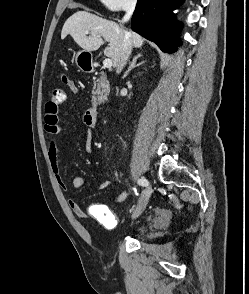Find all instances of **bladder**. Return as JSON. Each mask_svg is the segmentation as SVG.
Instances as JSON below:
<instances>
[{
    "instance_id": "obj_1",
    "label": "bladder",
    "mask_w": 249,
    "mask_h": 294,
    "mask_svg": "<svg viewBox=\"0 0 249 294\" xmlns=\"http://www.w3.org/2000/svg\"><path fill=\"white\" fill-rule=\"evenodd\" d=\"M170 219H171L170 213L169 212H163L161 214L160 218L158 219V223L162 222V223L166 224V223H168L170 221Z\"/></svg>"
}]
</instances>
